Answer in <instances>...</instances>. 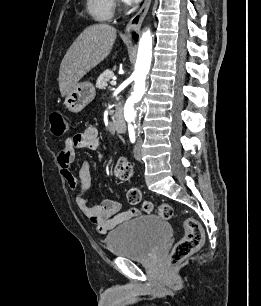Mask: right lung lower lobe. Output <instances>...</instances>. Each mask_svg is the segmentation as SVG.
Segmentation results:
<instances>
[{"label": "right lung lower lobe", "instance_id": "obj_1", "mask_svg": "<svg viewBox=\"0 0 261 306\" xmlns=\"http://www.w3.org/2000/svg\"><path fill=\"white\" fill-rule=\"evenodd\" d=\"M133 39L137 41L138 36L136 34L133 35Z\"/></svg>", "mask_w": 261, "mask_h": 306}]
</instances>
